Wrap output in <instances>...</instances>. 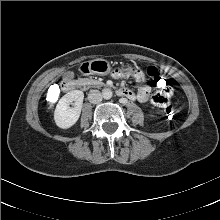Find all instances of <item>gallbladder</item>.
Returning a JSON list of instances; mask_svg holds the SVG:
<instances>
[{
  "instance_id": "bac80fb5",
  "label": "gallbladder",
  "mask_w": 220,
  "mask_h": 220,
  "mask_svg": "<svg viewBox=\"0 0 220 220\" xmlns=\"http://www.w3.org/2000/svg\"><path fill=\"white\" fill-rule=\"evenodd\" d=\"M73 75H74L73 72H68V73L66 74V77H73Z\"/></svg>"
}]
</instances>
